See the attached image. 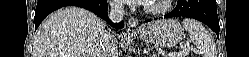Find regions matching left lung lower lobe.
<instances>
[{
	"label": "left lung lower lobe",
	"mask_w": 249,
	"mask_h": 57,
	"mask_svg": "<svg viewBox=\"0 0 249 57\" xmlns=\"http://www.w3.org/2000/svg\"><path fill=\"white\" fill-rule=\"evenodd\" d=\"M164 17L194 18L207 24L219 37L216 0H178L176 8Z\"/></svg>",
	"instance_id": "0a47b994"
}]
</instances>
